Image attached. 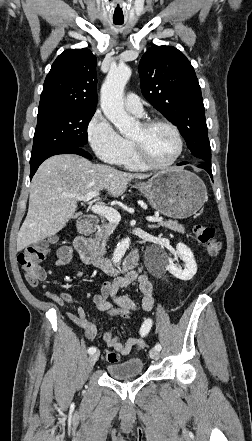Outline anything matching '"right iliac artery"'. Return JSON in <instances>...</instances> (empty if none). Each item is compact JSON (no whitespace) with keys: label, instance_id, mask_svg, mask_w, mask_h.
Listing matches in <instances>:
<instances>
[{"label":"right iliac artery","instance_id":"obj_1","mask_svg":"<svg viewBox=\"0 0 252 441\" xmlns=\"http://www.w3.org/2000/svg\"><path fill=\"white\" fill-rule=\"evenodd\" d=\"M95 352H96V348L93 346L88 349L89 354H94Z\"/></svg>","mask_w":252,"mask_h":441}]
</instances>
